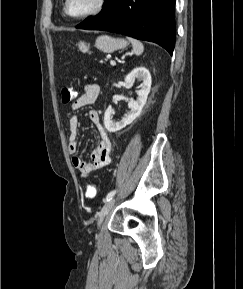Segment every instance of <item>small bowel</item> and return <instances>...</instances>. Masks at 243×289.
Instances as JSON below:
<instances>
[{
    "instance_id": "1",
    "label": "small bowel",
    "mask_w": 243,
    "mask_h": 289,
    "mask_svg": "<svg viewBox=\"0 0 243 289\" xmlns=\"http://www.w3.org/2000/svg\"><path fill=\"white\" fill-rule=\"evenodd\" d=\"M98 96L99 86L94 83L87 84L84 88V93L78 96L73 102L71 106L72 111L95 103ZM89 118L100 137L98 144L91 152L90 162H86L75 155L78 149L77 136L79 120L75 114H71L69 118L68 151L72 155V165L79 171L82 177H87L93 171L105 167L111 162V141L106 129L100 122L98 112L96 110H90Z\"/></svg>"
}]
</instances>
